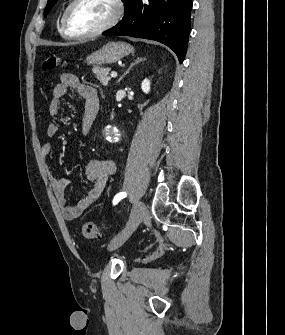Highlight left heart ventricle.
Listing matches in <instances>:
<instances>
[{
  "label": "left heart ventricle",
  "mask_w": 285,
  "mask_h": 335,
  "mask_svg": "<svg viewBox=\"0 0 285 335\" xmlns=\"http://www.w3.org/2000/svg\"><path fill=\"white\" fill-rule=\"evenodd\" d=\"M112 13V7L106 1H84L76 6L73 23L79 30H94L105 24Z\"/></svg>",
  "instance_id": "left-heart-ventricle-1"
}]
</instances>
